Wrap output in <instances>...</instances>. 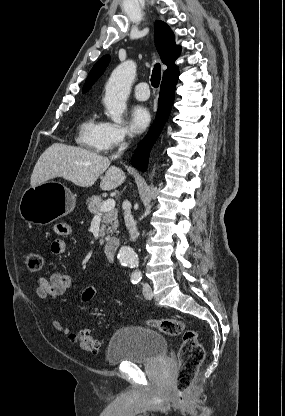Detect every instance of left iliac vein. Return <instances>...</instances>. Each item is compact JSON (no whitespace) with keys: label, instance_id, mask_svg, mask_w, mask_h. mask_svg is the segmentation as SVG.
<instances>
[{"label":"left iliac vein","instance_id":"1","mask_svg":"<svg viewBox=\"0 0 285 416\" xmlns=\"http://www.w3.org/2000/svg\"><path fill=\"white\" fill-rule=\"evenodd\" d=\"M143 295L145 296V298L147 299H151L153 296L151 287L148 283H144L143 284Z\"/></svg>","mask_w":285,"mask_h":416}]
</instances>
